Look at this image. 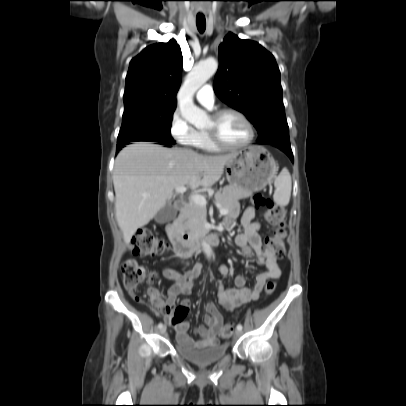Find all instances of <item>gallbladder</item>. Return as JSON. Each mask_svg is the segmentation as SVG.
<instances>
[{"label":"gallbladder","instance_id":"gallbladder-1","mask_svg":"<svg viewBox=\"0 0 406 406\" xmlns=\"http://www.w3.org/2000/svg\"><path fill=\"white\" fill-rule=\"evenodd\" d=\"M176 212L171 202H167L166 205L159 210L155 215L154 220L158 224L167 223L175 218Z\"/></svg>","mask_w":406,"mask_h":406}]
</instances>
